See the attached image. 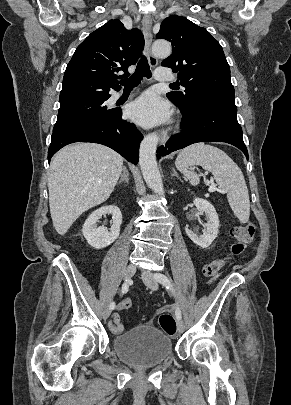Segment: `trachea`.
I'll return each mask as SVG.
<instances>
[{"mask_svg": "<svg viewBox=\"0 0 291 405\" xmlns=\"http://www.w3.org/2000/svg\"><path fill=\"white\" fill-rule=\"evenodd\" d=\"M151 75L148 61L145 56H142L137 64L135 72L128 79L121 80L120 84L123 85L125 89H131L136 87L143 77L150 78ZM171 86H175V84H171Z\"/></svg>", "mask_w": 291, "mask_h": 405, "instance_id": "trachea-1", "label": "trachea"}]
</instances>
